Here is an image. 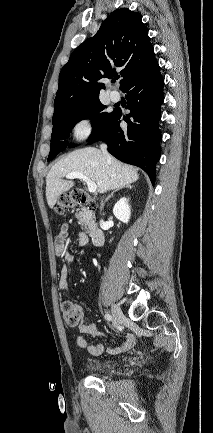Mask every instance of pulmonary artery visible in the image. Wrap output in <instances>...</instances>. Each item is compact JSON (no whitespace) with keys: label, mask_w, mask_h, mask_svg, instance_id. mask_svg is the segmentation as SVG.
I'll use <instances>...</instances> for the list:
<instances>
[{"label":"pulmonary artery","mask_w":213,"mask_h":433,"mask_svg":"<svg viewBox=\"0 0 213 433\" xmlns=\"http://www.w3.org/2000/svg\"><path fill=\"white\" fill-rule=\"evenodd\" d=\"M110 99L113 102L119 101L120 100V93L118 91H116V90L111 91L110 92Z\"/></svg>","instance_id":"obj_1"}]
</instances>
